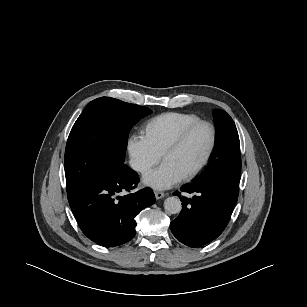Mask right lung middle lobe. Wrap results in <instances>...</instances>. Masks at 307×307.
Returning a JSON list of instances; mask_svg holds the SVG:
<instances>
[{
	"mask_svg": "<svg viewBox=\"0 0 307 307\" xmlns=\"http://www.w3.org/2000/svg\"><path fill=\"white\" fill-rule=\"evenodd\" d=\"M150 113L147 107L110 97L91 101L68 137L65 150L67 194L123 165L132 126Z\"/></svg>",
	"mask_w": 307,
	"mask_h": 307,
	"instance_id": "1",
	"label": "right lung middle lobe"
}]
</instances>
